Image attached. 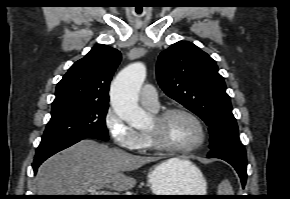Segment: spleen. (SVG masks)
<instances>
[{"label":"spleen","instance_id":"spleen-1","mask_svg":"<svg viewBox=\"0 0 290 199\" xmlns=\"http://www.w3.org/2000/svg\"><path fill=\"white\" fill-rule=\"evenodd\" d=\"M218 195H233L232 186L228 180H224L219 184Z\"/></svg>","mask_w":290,"mask_h":199}]
</instances>
